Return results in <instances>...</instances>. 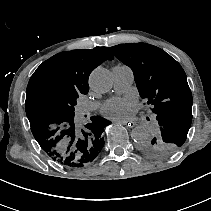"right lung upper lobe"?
Segmentation results:
<instances>
[{
    "label": "right lung upper lobe",
    "instance_id": "right-lung-upper-lobe-1",
    "mask_svg": "<svg viewBox=\"0 0 211 211\" xmlns=\"http://www.w3.org/2000/svg\"><path fill=\"white\" fill-rule=\"evenodd\" d=\"M113 55L106 47L90 50H73L58 53L43 62L31 76L27 90L25 109L30 124L43 128L41 117L44 100L54 94H87L90 73Z\"/></svg>",
    "mask_w": 211,
    "mask_h": 211
}]
</instances>
